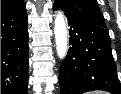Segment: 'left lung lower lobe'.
<instances>
[{
    "mask_svg": "<svg viewBox=\"0 0 121 94\" xmlns=\"http://www.w3.org/2000/svg\"><path fill=\"white\" fill-rule=\"evenodd\" d=\"M60 8L55 2L53 10ZM70 48L59 71L61 94L104 90L121 94L107 28L65 14Z\"/></svg>",
    "mask_w": 121,
    "mask_h": 94,
    "instance_id": "obj_1",
    "label": "left lung lower lobe"
}]
</instances>
